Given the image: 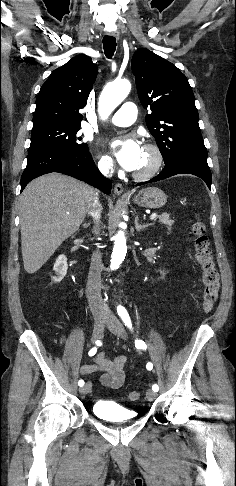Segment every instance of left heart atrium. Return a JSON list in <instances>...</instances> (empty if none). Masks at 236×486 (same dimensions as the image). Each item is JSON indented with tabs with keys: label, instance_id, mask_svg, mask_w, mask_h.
I'll return each instance as SVG.
<instances>
[{
	"label": "left heart atrium",
	"instance_id": "39dd6f15",
	"mask_svg": "<svg viewBox=\"0 0 236 486\" xmlns=\"http://www.w3.org/2000/svg\"><path fill=\"white\" fill-rule=\"evenodd\" d=\"M111 148L118 163L128 171H134L141 158L142 147L132 137L117 139L111 143Z\"/></svg>",
	"mask_w": 236,
	"mask_h": 486
}]
</instances>
